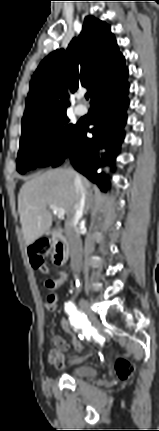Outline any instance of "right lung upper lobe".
I'll return each instance as SVG.
<instances>
[{
    "label": "right lung upper lobe",
    "instance_id": "right-lung-upper-lobe-1",
    "mask_svg": "<svg viewBox=\"0 0 159 431\" xmlns=\"http://www.w3.org/2000/svg\"><path fill=\"white\" fill-rule=\"evenodd\" d=\"M128 75L110 26L92 16L85 18L83 29L67 50L49 54L34 73L26 99L22 131L66 112V89L86 87L91 102L107 86Z\"/></svg>",
    "mask_w": 159,
    "mask_h": 431
}]
</instances>
